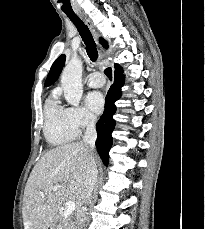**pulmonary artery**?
Instances as JSON below:
<instances>
[{
    "label": "pulmonary artery",
    "mask_w": 205,
    "mask_h": 229,
    "mask_svg": "<svg viewBox=\"0 0 205 229\" xmlns=\"http://www.w3.org/2000/svg\"><path fill=\"white\" fill-rule=\"evenodd\" d=\"M86 83L91 88H99L104 85L105 79L100 73L93 72L87 76Z\"/></svg>",
    "instance_id": "pulmonary-artery-1"
}]
</instances>
